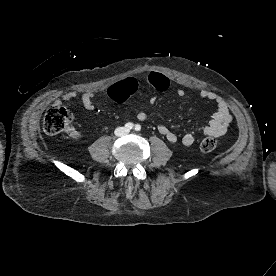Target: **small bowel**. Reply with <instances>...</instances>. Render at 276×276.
Instances as JSON below:
<instances>
[{"label": "small bowel", "instance_id": "c3829d8e", "mask_svg": "<svg viewBox=\"0 0 276 276\" xmlns=\"http://www.w3.org/2000/svg\"><path fill=\"white\" fill-rule=\"evenodd\" d=\"M149 85L158 91L167 90L169 87V82L167 77L158 72H153L148 76ZM139 90V82L135 78L126 79L123 82L116 83L111 86L108 90V94L111 98L115 100H123L133 95ZM178 96L184 95V90L179 88L176 90ZM199 95L203 99L212 101L216 105V111L213 114L210 122L201 127L199 132L203 135L220 137L223 136L232 121V116L229 111V106L227 102L215 92L209 90H201ZM77 94L74 91H69L62 94L56 99L57 104H62L67 101L73 100L76 98ZM96 94L92 91L83 93L80 96V101L85 109L93 110L96 108L95 102ZM137 119L141 122L148 120V115L145 112H139L137 114ZM157 130L162 134L168 142L176 143L178 141V136L173 132L167 125L163 123H156ZM73 138L83 137V133L79 131L72 130L70 132ZM181 142L185 146H190L195 142V135L193 133H186L181 137Z\"/></svg>", "mask_w": 276, "mask_h": 276}]
</instances>
